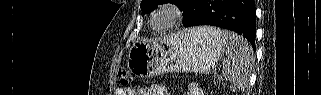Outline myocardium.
Returning a JSON list of instances; mask_svg holds the SVG:
<instances>
[{"mask_svg": "<svg viewBox=\"0 0 321 95\" xmlns=\"http://www.w3.org/2000/svg\"><path fill=\"white\" fill-rule=\"evenodd\" d=\"M182 17V10L177 4L165 2L151 12L149 26L153 31L163 33L177 26Z\"/></svg>", "mask_w": 321, "mask_h": 95, "instance_id": "f54148a6", "label": "myocardium"}]
</instances>
